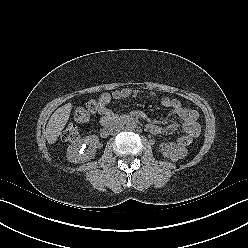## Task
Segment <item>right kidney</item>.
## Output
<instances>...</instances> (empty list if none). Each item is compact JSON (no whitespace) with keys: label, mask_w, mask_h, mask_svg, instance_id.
Masks as SVG:
<instances>
[{"label":"right kidney","mask_w":248,"mask_h":248,"mask_svg":"<svg viewBox=\"0 0 248 248\" xmlns=\"http://www.w3.org/2000/svg\"><path fill=\"white\" fill-rule=\"evenodd\" d=\"M98 144L99 138L96 135H90L86 138L75 141L67 149L68 161L73 163H83L94 158ZM86 145L89 146L87 150H85Z\"/></svg>","instance_id":"1"}]
</instances>
